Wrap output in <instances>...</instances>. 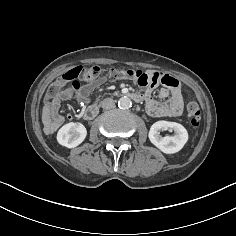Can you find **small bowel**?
<instances>
[{
    "mask_svg": "<svg viewBox=\"0 0 236 236\" xmlns=\"http://www.w3.org/2000/svg\"><path fill=\"white\" fill-rule=\"evenodd\" d=\"M146 74L148 75V83L146 85H141L138 78H136V81L140 86L146 88L143 94L137 95L145 99L148 113L154 117L173 118L180 116L183 111L184 102L179 83L177 82L175 86H168L166 82L171 76L161 72L150 71ZM102 82L103 79H97L93 83L81 87L79 90H65L62 99L73 97L79 104L84 105L88 102L89 94ZM159 83L162 84V87L159 90L160 101H157L152 97L151 93ZM60 101L48 100L44 105V131L48 135H52L65 120L59 113ZM68 118H71V116H68Z\"/></svg>",
    "mask_w": 236,
    "mask_h": 236,
    "instance_id": "small-bowel-1",
    "label": "small bowel"
}]
</instances>
